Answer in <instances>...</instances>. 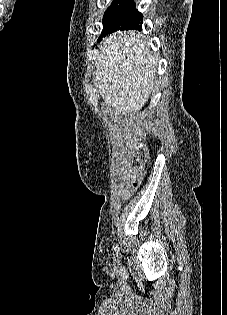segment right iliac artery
<instances>
[{
    "label": "right iliac artery",
    "mask_w": 227,
    "mask_h": 315,
    "mask_svg": "<svg viewBox=\"0 0 227 315\" xmlns=\"http://www.w3.org/2000/svg\"><path fill=\"white\" fill-rule=\"evenodd\" d=\"M119 250L120 249H119L118 245H116L115 248H114V252H115V256L116 257H119Z\"/></svg>",
    "instance_id": "82829eb1"
}]
</instances>
